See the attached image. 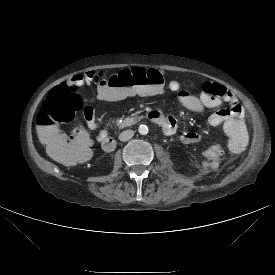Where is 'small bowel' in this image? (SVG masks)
I'll use <instances>...</instances> for the list:
<instances>
[{"mask_svg":"<svg viewBox=\"0 0 275 275\" xmlns=\"http://www.w3.org/2000/svg\"><path fill=\"white\" fill-rule=\"evenodd\" d=\"M96 76L93 72L76 74L72 76L67 83L85 86ZM168 88L173 92H177L180 103L194 113L201 114L208 109H215L224 103L228 104L229 108H221L211 112L207 117V122L210 126L214 127L223 125L224 131L228 136L229 150L233 154L240 153L246 147L248 143V132L244 113L236 96L231 91L220 84L204 82L201 85V93L195 95L196 88L194 85L187 84L182 90L181 84L177 80L169 81ZM152 112L156 114L154 116V123L161 127L164 134L173 135L176 133L178 126L177 120L173 115H165L157 111ZM85 121L87 127L91 130L97 129L100 126L93 113L87 115ZM74 132L83 135V131L81 130H75ZM105 137L106 131L101 130L93 138L100 142ZM181 139L184 142L197 144L201 140V135L197 131H192L182 134ZM224 154L225 149L222 144L213 142L207 145L201 153V168L210 173L219 172L222 168L221 159Z\"/></svg>","mask_w":275,"mask_h":275,"instance_id":"1","label":"small bowel"}]
</instances>
